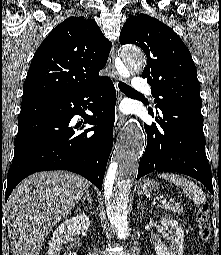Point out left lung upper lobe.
Returning a JSON list of instances; mask_svg holds the SVG:
<instances>
[{
    "label": "left lung upper lobe",
    "instance_id": "obj_1",
    "mask_svg": "<svg viewBox=\"0 0 221 255\" xmlns=\"http://www.w3.org/2000/svg\"><path fill=\"white\" fill-rule=\"evenodd\" d=\"M121 44H135L146 54L142 77L151 86L156 108L174 106L201 115L202 101L197 71L180 37L149 15L129 17L120 33ZM148 112L158 113L148 108Z\"/></svg>",
    "mask_w": 221,
    "mask_h": 255
}]
</instances>
